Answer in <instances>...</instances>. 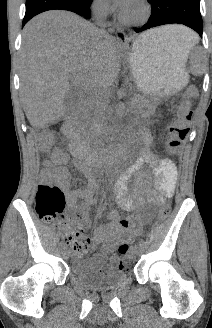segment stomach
Returning <instances> with one entry per match:
<instances>
[{
  "label": "stomach",
  "instance_id": "stomach-1",
  "mask_svg": "<svg viewBox=\"0 0 212 328\" xmlns=\"http://www.w3.org/2000/svg\"><path fill=\"white\" fill-rule=\"evenodd\" d=\"M177 45L141 35L132 46L130 66L138 89L156 94L162 89L179 90L188 81L186 59Z\"/></svg>",
  "mask_w": 212,
  "mask_h": 328
}]
</instances>
